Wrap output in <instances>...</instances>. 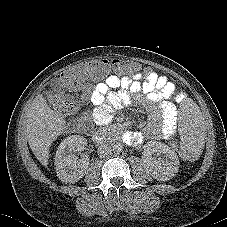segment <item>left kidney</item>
Wrapping results in <instances>:
<instances>
[{"label":"left kidney","instance_id":"left-kidney-1","mask_svg":"<svg viewBox=\"0 0 227 227\" xmlns=\"http://www.w3.org/2000/svg\"><path fill=\"white\" fill-rule=\"evenodd\" d=\"M153 152H157L162 157L157 160L154 159L152 157ZM143 157L148 166V171L157 180L166 181L178 173L179 158L177 153L161 142L149 141L146 144Z\"/></svg>","mask_w":227,"mask_h":227}]
</instances>
